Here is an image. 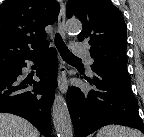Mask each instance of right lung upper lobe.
Returning a JSON list of instances; mask_svg holds the SVG:
<instances>
[{"instance_id": "1", "label": "right lung upper lobe", "mask_w": 144, "mask_h": 137, "mask_svg": "<svg viewBox=\"0 0 144 137\" xmlns=\"http://www.w3.org/2000/svg\"><path fill=\"white\" fill-rule=\"evenodd\" d=\"M60 11L54 0H5L0 5V73L45 48V27Z\"/></svg>"}]
</instances>
